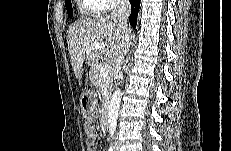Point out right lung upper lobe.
<instances>
[{
    "mask_svg": "<svg viewBox=\"0 0 231 151\" xmlns=\"http://www.w3.org/2000/svg\"><path fill=\"white\" fill-rule=\"evenodd\" d=\"M69 0H65V3L68 2Z\"/></svg>",
    "mask_w": 231,
    "mask_h": 151,
    "instance_id": "obj_1",
    "label": "right lung upper lobe"
}]
</instances>
